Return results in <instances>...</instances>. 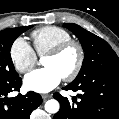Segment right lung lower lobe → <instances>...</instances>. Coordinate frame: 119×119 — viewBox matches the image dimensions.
<instances>
[{
  "instance_id": "1",
  "label": "right lung lower lobe",
  "mask_w": 119,
  "mask_h": 119,
  "mask_svg": "<svg viewBox=\"0 0 119 119\" xmlns=\"http://www.w3.org/2000/svg\"><path fill=\"white\" fill-rule=\"evenodd\" d=\"M21 84L19 76L0 79V119H29L31 112L42 103V97L33 91L8 98V93L19 91Z\"/></svg>"
}]
</instances>
